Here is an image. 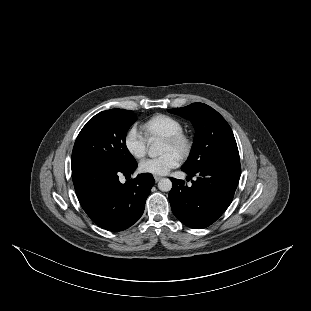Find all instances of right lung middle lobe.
Here are the masks:
<instances>
[{
  "label": "right lung middle lobe",
  "instance_id": "dd1d6c3e",
  "mask_svg": "<svg viewBox=\"0 0 311 311\" xmlns=\"http://www.w3.org/2000/svg\"><path fill=\"white\" fill-rule=\"evenodd\" d=\"M137 120L131 110L111 109L92 117L80 131L72 151V168L90 162L120 168L136 164L126 147L130 126Z\"/></svg>",
  "mask_w": 311,
  "mask_h": 311
}]
</instances>
